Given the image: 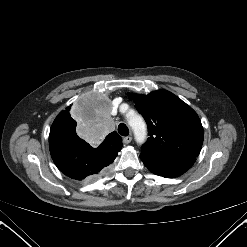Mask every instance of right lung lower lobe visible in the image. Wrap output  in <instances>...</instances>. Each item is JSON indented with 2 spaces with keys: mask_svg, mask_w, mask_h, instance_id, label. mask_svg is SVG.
Returning <instances> with one entry per match:
<instances>
[{
  "mask_svg": "<svg viewBox=\"0 0 247 247\" xmlns=\"http://www.w3.org/2000/svg\"><path fill=\"white\" fill-rule=\"evenodd\" d=\"M49 147L58 169L75 180L98 174L114 161L118 153L101 144L93 148L80 139L75 131L61 128H51Z\"/></svg>",
  "mask_w": 247,
  "mask_h": 247,
  "instance_id": "right-lung-lower-lobe-1",
  "label": "right lung lower lobe"
}]
</instances>
